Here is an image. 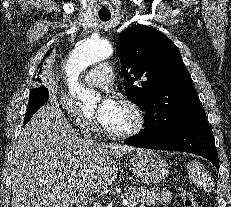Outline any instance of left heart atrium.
I'll return each instance as SVG.
<instances>
[{"instance_id":"39dd6f15","label":"left heart atrium","mask_w":231,"mask_h":207,"mask_svg":"<svg viewBox=\"0 0 231 207\" xmlns=\"http://www.w3.org/2000/svg\"><path fill=\"white\" fill-rule=\"evenodd\" d=\"M119 104L120 103L113 96L104 97L97 111V119L99 122L102 124L107 123L117 111Z\"/></svg>"}]
</instances>
